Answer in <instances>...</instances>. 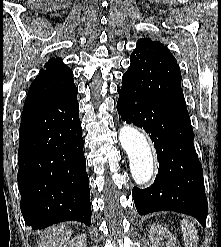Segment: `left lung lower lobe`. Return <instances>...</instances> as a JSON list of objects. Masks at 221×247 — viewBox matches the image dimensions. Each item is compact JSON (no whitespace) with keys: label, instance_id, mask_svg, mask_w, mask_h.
I'll return each instance as SVG.
<instances>
[{"label":"left lung lower lobe","instance_id":"1","mask_svg":"<svg viewBox=\"0 0 221 247\" xmlns=\"http://www.w3.org/2000/svg\"><path fill=\"white\" fill-rule=\"evenodd\" d=\"M122 80L117 101L119 119L149 133L159 163L152 186L132 190L138 213L180 212L195 217L205 227L208 206L203 169L194 148L188 112L139 95L125 75Z\"/></svg>","mask_w":221,"mask_h":247}]
</instances>
